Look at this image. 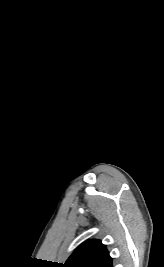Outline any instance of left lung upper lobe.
Listing matches in <instances>:
<instances>
[{
    "label": "left lung upper lobe",
    "mask_w": 164,
    "mask_h": 267,
    "mask_svg": "<svg viewBox=\"0 0 164 267\" xmlns=\"http://www.w3.org/2000/svg\"><path fill=\"white\" fill-rule=\"evenodd\" d=\"M112 258L100 240L82 243L68 258L64 267H108Z\"/></svg>",
    "instance_id": "left-lung-upper-lobe-1"
}]
</instances>
